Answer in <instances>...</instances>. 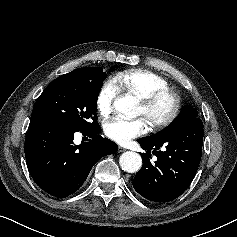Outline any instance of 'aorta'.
I'll return each instance as SVG.
<instances>
[{
    "label": "aorta",
    "mask_w": 237,
    "mask_h": 237,
    "mask_svg": "<svg viewBox=\"0 0 237 237\" xmlns=\"http://www.w3.org/2000/svg\"><path fill=\"white\" fill-rule=\"evenodd\" d=\"M137 104L138 101L135 97L127 95L117 98L113 105L117 112L127 117H135ZM119 164L122 170L128 173H135L139 171L142 166V158L136 152L126 151L120 156Z\"/></svg>",
    "instance_id": "762f6f07"
}]
</instances>
